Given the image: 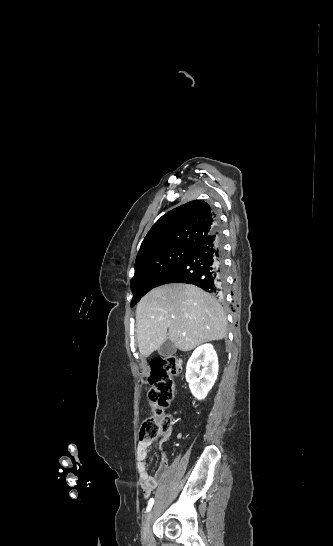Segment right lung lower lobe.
<instances>
[{
	"mask_svg": "<svg viewBox=\"0 0 333 546\" xmlns=\"http://www.w3.org/2000/svg\"><path fill=\"white\" fill-rule=\"evenodd\" d=\"M223 261V237L216 228L208 236L199 240L190 253L170 270L157 286L168 283H187L221 295L226 281Z\"/></svg>",
	"mask_w": 333,
	"mask_h": 546,
	"instance_id": "obj_1",
	"label": "right lung lower lobe"
}]
</instances>
